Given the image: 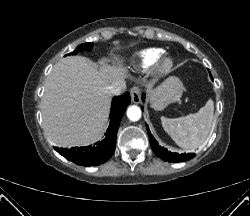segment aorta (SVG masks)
Segmentation results:
<instances>
[{
	"instance_id": "obj_1",
	"label": "aorta",
	"mask_w": 250,
	"mask_h": 216,
	"mask_svg": "<svg viewBox=\"0 0 250 216\" xmlns=\"http://www.w3.org/2000/svg\"><path fill=\"white\" fill-rule=\"evenodd\" d=\"M127 116L131 121H138L141 118V109L138 106H130L127 110Z\"/></svg>"
}]
</instances>
